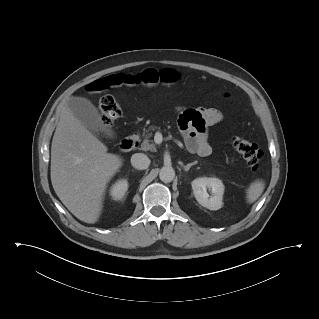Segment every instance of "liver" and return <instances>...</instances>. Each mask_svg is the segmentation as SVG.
<instances>
[{
    "label": "liver",
    "instance_id": "6515ba94",
    "mask_svg": "<svg viewBox=\"0 0 319 319\" xmlns=\"http://www.w3.org/2000/svg\"><path fill=\"white\" fill-rule=\"evenodd\" d=\"M70 111L60 115L51 145V182L66 208L86 223L98 221L107 184L122 166Z\"/></svg>",
    "mask_w": 319,
    "mask_h": 319
}]
</instances>
